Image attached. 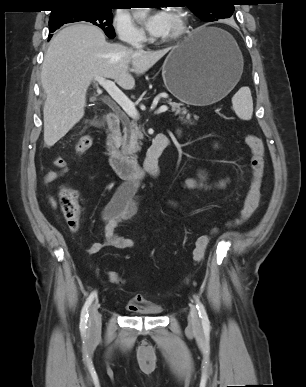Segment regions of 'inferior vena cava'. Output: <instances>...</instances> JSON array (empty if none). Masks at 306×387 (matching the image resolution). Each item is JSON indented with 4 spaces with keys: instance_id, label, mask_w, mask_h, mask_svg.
<instances>
[{
    "instance_id": "602c4592",
    "label": "inferior vena cava",
    "mask_w": 306,
    "mask_h": 387,
    "mask_svg": "<svg viewBox=\"0 0 306 387\" xmlns=\"http://www.w3.org/2000/svg\"><path fill=\"white\" fill-rule=\"evenodd\" d=\"M133 46L138 50H141L143 47L140 43H134Z\"/></svg>"
}]
</instances>
